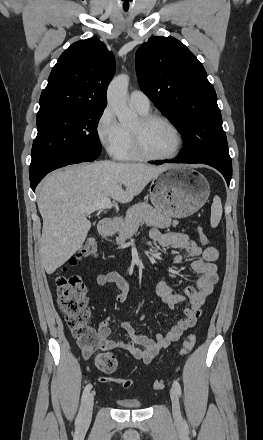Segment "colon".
Wrapping results in <instances>:
<instances>
[{"instance_id": "1", "label": "colon", "mask_w": 263, "mask_h": 440, "mask_svg": "<svg viewBox=\"0 0 263 440\" xmlns=\"http://www.w3.org/2000/svg\"><path fill=\"white\" fill-rule=\"evenodd\" d=\"M199 238L202 244L209 243L208 237L202 229H199ZM98 246L94 239H89L82 246L80 251L69 261V265L76 264L79 260L86 257H96ZM66 268H62L56 275V287L58 305L63 313L66 323L71 331L73 338L79 343L86 354L92 353L97 337L89 330L87 321L89 318V308L86 298V287L82 279L77 275L65 274ZM196 336L190 334L183 342L182 355H187L194 347ZM96 367L105 374L113 373L117 368V360L110 353H99L95 358ZM105 380L116 383L124 388H131L133 381L125 378H104ZM165 386L163 380H156L153 384L155 390H161Z\"/></svg>"}]
</instances>
